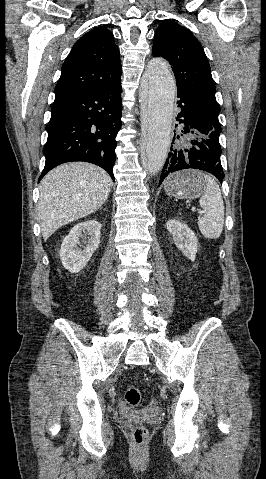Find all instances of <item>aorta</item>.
<instances>
[{
	"label": "aorta",
	"mask_w": 266,
	"mask_h": 479,
	"mask_svg": "<svg viewBox=\"0 0 266 479\" xmlns=\"http://www.w3.org/2000/svg\"><path fill=\"white\" fill-rule=\"evenodd\" d=\"M175 91V80L168 64L162 59L151 60L140 88L147 169L151 174L160 172L167 157Z\"/></svg>",
	"instance_id": "1"
}]
</instances>
